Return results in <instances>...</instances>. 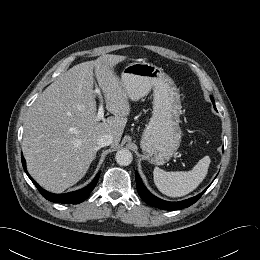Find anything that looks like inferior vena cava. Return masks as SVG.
Segmentation results:
<instances>
[{"instance_id": "inferior-vena-cava-1", "label": "inferior vena cava", "mask_w": 260, "mask_h": 260, "mask_svg": "<svg viewBox=\"0 0 260 260\" xmlns=\"http://www.w3.org/2000/svg\"><path fill=\"white\" fill-rule=\"evenodd\" d=\"M113 142V136L111 134H102L97 139V146L99 148L109 146Z\"/></svg>"}]
</instances>
